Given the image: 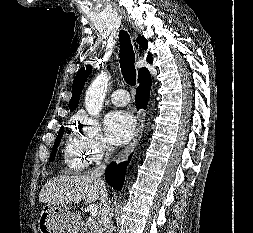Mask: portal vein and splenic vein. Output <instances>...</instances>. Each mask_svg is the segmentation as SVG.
Masks as SVG:
<instances>
[{
	"instance_id": "18ae733b",
	"label": "portal vein and splenic vein",
	"mask_w": 253,
	"mask_h": 233,
	"mask_svg": "<svg viewBox=\"0 0 253 233\" xmlns=\"http://www.w3.org/2000/svg\"><path fill=\"white\" fill-rule=\"evenodd\" d=\"M89 211L92 217H95L98 212V207L95 204L89 205Z\"/></svg>"
}]
</instances>
